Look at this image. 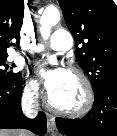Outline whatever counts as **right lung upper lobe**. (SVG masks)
I'll return each mask as SVG.
<instances>
[{
  "label": "right lung upper lobe",
  "mask_w": 117,
  "mask_h": 136,
  "mask_svg": "<svg viewBox=\"0 0 117 136\" xmlns=\"http://www.w3.org/2000/svg\"><path fill=\"white\" fill-rule=\"evenodd\" d=\"M24 0H0V57H7L12 39L20 40Z\"/></svg>",
  "instance_id": "obj_1"
}]
</instances>
